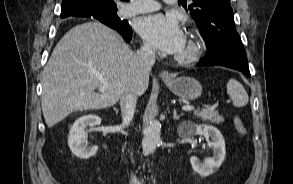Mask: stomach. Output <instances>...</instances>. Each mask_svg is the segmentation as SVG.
Segmentation results:
<instances>
[{"instance_id": "1", "label": "stomach", "mask_w": 293, "mask_h": 184, "mask_svg": "<svg viewBox=\"0 0 293 184\" xmlns=\"http://www.w3.org/2000/svg\"><path fill=\"white\" fill-rule=\"evenodd\" d=\"M165 83L172 93L186 100H195L202 93L201 84L192 77H178L165 80Z\"/></svg>"}]
</instances>
